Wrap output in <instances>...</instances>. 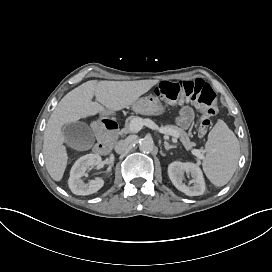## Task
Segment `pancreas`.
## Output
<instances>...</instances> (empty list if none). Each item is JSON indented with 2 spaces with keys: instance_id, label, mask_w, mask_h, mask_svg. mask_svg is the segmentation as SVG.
Listing matches in <instances>:
<instances>
[{
  "instance_id": "pancreas-1",
  "label": "pancreas",
  "mask_w": 272,
  "mask_h": 272,
  "mask_svg": "<svg viewBox=\"0 0 272 272\" xmlns=\"http://www.w3.org/2000/svg\"><path fill=\"white\" fill-rule=\"evenodd\" d=\"M135 118H139V117L138 116H130L126 119L125 128H123L120 131V134L129 133V124H130L131 120L135 119ZM158 124L161 125L162 127H165L167 129H171V130L178 132L180 134V141L185 149H187V150L191 149L195 145L194 142L190 141V138H189L187 132L183 128L175 126V125H171V124L163 125L162 122H158Z\"/></svg>"
}]
</instances>
